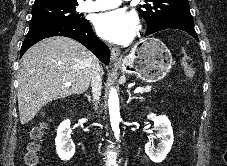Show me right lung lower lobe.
I'll list each match as a JSON object with an SVG mask.
<instances>
[{"label": "right lung lower lobe", "instance_id": "1", "mask_svg": "<svg viewBox=\"0 0 227 166\" xmlns=\"http://www.w3.org/2000/svg\"><path fill=\"white\" fill-rule=\"evenodd\" d=\"M52 36H66L75 39L94 53L104 64L109 63V48L95 36L88 21L85 24L48 23L30 29L22 44L20 57L38 41Z\"/></svg>", "mask_w": 227, "mask_h": 166}]
</instances>
